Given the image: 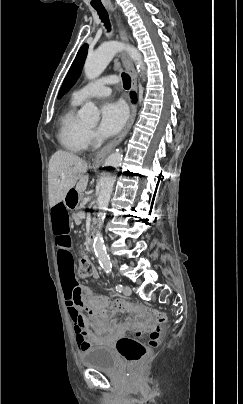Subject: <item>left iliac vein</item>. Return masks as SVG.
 <instances>
[{
    "mask_svg": "<svg viewBox=\"0 0 243 404\" xmlns=\"http://www.w3.org/2000/svg\"><path fill=\"white\" fill-rule=\"evenodd\" d=\"M123 293H124V295L129 296V295H131L132 290L129 286H125Z\"/></svg>",
    "mask_w": 243,
    "mask_h": 404,
    "instance_id": "left-iliac-vein-1",
    "label": "left iliac vein"
}]
</instances>
